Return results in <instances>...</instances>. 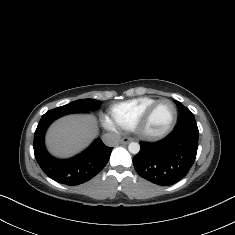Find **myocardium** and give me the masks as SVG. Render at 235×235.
Instances as JSON below:
<instances>
[{"label":"myocardium","mask_w":235,"mask_h":235,"mask_svg":"<svg viewBox=\"0 0 235 235\" xmlns=\"http://www.w3.org/2000/svg\"><path fill=\"white\" fill-rule=\"evenodd\" d=\"M165 101L170 102L174 107L175 112H174L172 121L170 122L169 126L162 132H159V133L148 132L147 127L150 123L154 110L161 102H165ZM177 120H178V108H177L176 103L169 98H160L154 101L152 105L144 113V115L135 123L133 127V131L136 137L142 141H147V142L157 141V140L165 138L173 131L177 123Z\"/></svg>","instance_id":"obj_1"}]
</instances>
